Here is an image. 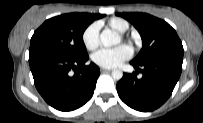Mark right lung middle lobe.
<instances>
[{
    "label": "right lung middle lobe",
    "mask_w": 203,
    "mask_h": 123,
    "mask_svg": "<svg viewBox=\"0 0 203 123\" xmlns=\"http://www.w3.org/2000/svg\"><path fill=\"white\" fill-rule=\"evenodd\" d=\"M92 22L86 13H69L48 19L34 32L29 52L45 51L70 58L87 56L82 36Z\"/></svg>",
    "instance_id": "1"
}]
</instances>
